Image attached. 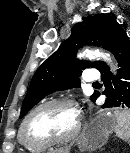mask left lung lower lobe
<instances>
[{"mask_svg":"<svg viewBox=\"0 0 130 153\" xmlns=\"http://www.w3.org/2000/svg\"><path fill=\"white\" fill-rule=\"evenodd\" d=\"M107 50L114 54L120 69L117 77L111 76L105 63L99 69L105 86L103 94L106 95L103 108H130V41L124 30L110 41Z\"/></svg>","mask_w":130,"mask_h":153,"instance_id":"left-lung-lower-lobe-1","label":"left lung lower lobe"}]
</instances>
